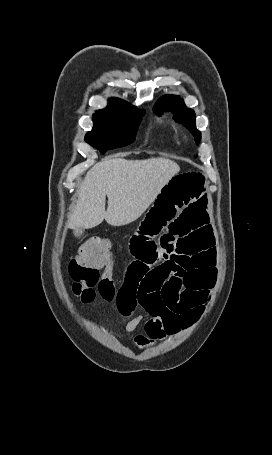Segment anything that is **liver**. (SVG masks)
Returning a JSON list of instances; mask_svg holds the SVG:
<instances>
[{
	"instance_id": "obj_1",
	"label": "liver",
	"mask_w": 272,
	"mask_h": 455,
	"mask_svg": "<svg viewBox=\"0 0 272 455\" xmlns=\"http://www.w3.org/2000/svg\"><path fill=\"white\" fill-rule=\"evenodd\" d=\"M179 171V165L166 158H113L96 163L77 190L78 200L68 225L89 229L104 219L112 226L132 223ZM106 196L108 207L105 211Z\"/></svg>"
}]
</instances>
